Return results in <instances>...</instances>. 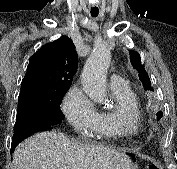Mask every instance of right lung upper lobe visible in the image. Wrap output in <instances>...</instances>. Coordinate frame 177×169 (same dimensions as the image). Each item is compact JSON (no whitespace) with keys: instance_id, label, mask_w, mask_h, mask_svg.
I'll use <instances>...</instances> for the list:
<instances>
[{"instance_id":"1","label":"right lung upper lobe","mask_w":177,"mask_h":169,"mask_svg":"<svg viewBox=\"0 0 177 169\" xmlns=\"http://www.w3.org/2000/svg\"><path fill=\"white\" fill-rule=\"evenodd\" d=\"M77 66L78 56L70 38L62 36L43 45L28 64L19 98L49 99L67 92Z\"/></svg>"}]
</instances>
